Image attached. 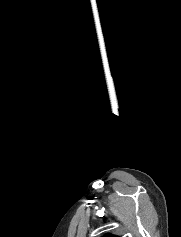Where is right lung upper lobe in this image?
<instances>
[{
    "label": "right lung upper lobe",
    "instance_id": "obj_1",
    "mask_svg": "<svg viewBox=\"0 0 181 237\" xmlns=\"http://www.w3.org/2000/svg\"><path fill=\"white\" fill-rule=\"evenodd\" d=\"M103 237H118V236L111 235V234H106V235H104Z\"/></svg>",
    "mask_w": 181,
    "mask_h": 237
}]
</instances>
